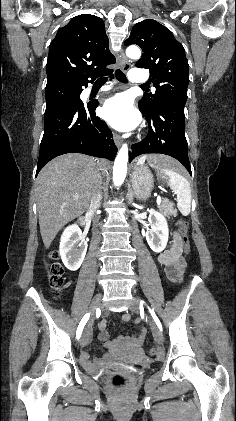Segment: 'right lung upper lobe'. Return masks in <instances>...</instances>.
I'll return each instance as SVG.
<instances>
[{"label": "right lung upper lobe", "mask_w": 236, "mask_h": 421, "mask_svg": "<svg viewBox=\"0 0 236 421\" xmlns=\"http://www.w3.org/2000/svg\"><path fill=\"white\" fill-rule=\"evenodd\" d=\"M101 18L82 14L56 34L46 65L47 86L77 87L89 78L112 72L106 66L116 62ZM78 88V87H77Z\"/></svg>", "instance_id": "obj_1"}]
</instances>
